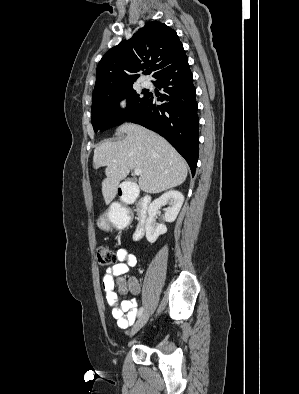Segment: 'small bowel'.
Masks as SVG:
<instances>
[{
	"mask_svg": "<svg viewBox=\"0 0 299 394\" xmlns=\"http://www.w3.org/2000/svg\"><path fill=\"white\" fill-rule=\"evenodd\" d=\"M118 263L109 267L102 277V287L105 292L107 303L112 307V316L121 329L129 328L135 321L138 314L139 301L136 298L119 301L114 292V281L116 277L125 275L131 267L137 265V257L127 248L120 247L117 250ZM129 292L132 295L140 293V285L135 278L130 280Z\"/></svg>",
	"mask_w": 299,
	"mask_h": 394,
	"instance_id": "obj_1",
	"label": "small bowel"
}]
</instances>
